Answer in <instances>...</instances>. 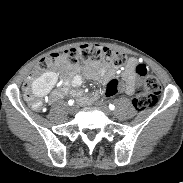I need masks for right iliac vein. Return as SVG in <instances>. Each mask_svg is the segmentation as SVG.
<instances>
[{"mask_svg": "<svg viewBox=\"0 0 183 183\" xmlns=\"http://www.w3.org/2000/svg\"><path fill=\"white\" fill-rule=\"evenodd\" d=\"M76 109H77L76 106H72V107H70V112L71 113H74V112H76Z\"/></svg>", "mask_w": 183, "mask_h": 183, "instance_id": "obj_1", "label": "right iliac vein"}]
</instances>
